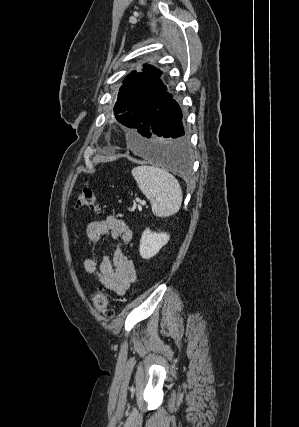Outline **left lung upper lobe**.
I'll return each mask as SVG.
<instances>
[{
    "mask_svg": "<svg viewBox=\"0 0 299 427\" xmlns=\"http://www.w3.org/2000/svg\"><path fill=\"white\" fill-rule=\"evenodd\" d=\"M162 72L152 66H145L143 72L133 71L125 78L119 89L114 107L117 120L123 125L137 130L140 111L163 102L169 95L160 79Z\"/></svg>",
    "mask_w": 299,
    "mask_h": 427,
    "instance_id": "5c2ea615",
    "label": "left lung upper lobe"
}]
</instances>
